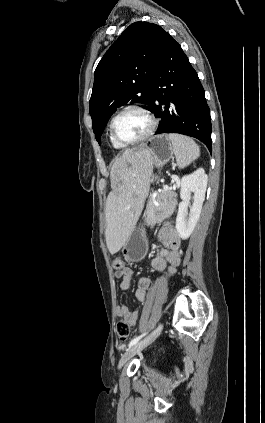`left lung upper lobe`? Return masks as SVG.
<instances>
[{
    "label": "left lung upper lobe",
    "instance_id": "5c2ea615",
    "mask_svg": "<svg viewBox=\"0 0 265 423\" xmlns=\"http://www.w3.org/2000/svg\"><path fill=\"white\" fill-rule=\"evenodd\" d=\"M168 33L159 25L135 22L125 29L99 62L89 110L96 140L114 111L130 102L151 105V82Z\"/></svg>",
    "mask_w": 265,
    "mask_h": 423
}]
</instances>
